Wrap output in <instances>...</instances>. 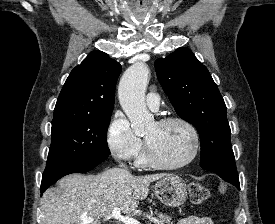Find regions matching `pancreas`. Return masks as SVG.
I'll return each instance as SVG.
<instances>
[{
	"mask_svg": "<svg viewBox=\"0 0 275 224\" xmlns=\"http://www.w3.org/2000/svg\"><path fill=\"white\" fill-rule=\"evenodd\" d=\"M156 216H157V222L156 224H173V222L171 221V217L162 213H157L155 212Z\"/></svg>",
	"mask_w": 275,
	"mask_h": 224,
	"instance_id": "1",
	"label": "pancreas"
}]
</instances>
